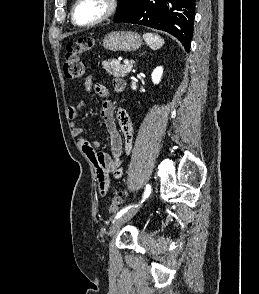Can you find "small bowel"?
I'll list each match as a JSON object with an SVG mask.
<instances>
[{
  "label": "small bowel",
  "instance_id": "1",
  "mask_svg": "<svg viewBox=\"0 0 259 294\" xmlns=\"http://www.w3.org/2000/svg\"><path fill=\"white\" fill-rule=\"evenodd\" d=\"M87 91L94 90L101 98L100 117L101 122L109 133L110 152H99L95 150L100 143H90L85 139H80V147L87 158L92 163L101 192L106 193L109 187V177L119 179L123 175L121 166L122 154L128 155L133 145V127L128 113L118 108L114 111L112 101L110 100L109 89L102 84H94L91 76L87 77L84 82ZM113 88L116 92H122L125 88V81L121 78L113 80ZM83 106L81 101L75 106L68 107V117L72 124L71 134L73 137H80L84 128L76 124L78 112ZM116 113V120L114 117Z\"/></svg>",
  "mask_w": 259,
  "mask_h": 294
}]
</instances>
